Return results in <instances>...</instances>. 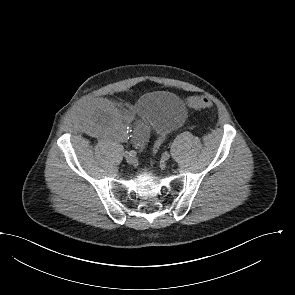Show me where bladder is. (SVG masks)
<instances>
[{"label": "bladder", "instance_id": "obj_1", "mask_svg": "<svg viewBox=\"0 0 295 295\" xmlns=\"http://www.w3.org/2000/svg\"><path fill=\"white\" fill-rule=\"evenodd\" d=\"M137 113L159 133H168L179 127L186 116V106L168 91H151L144 94L137 105Z\"/></svg>", "mask_w": 295, "mask_h": 295}]
</instances>
